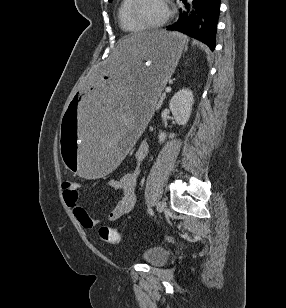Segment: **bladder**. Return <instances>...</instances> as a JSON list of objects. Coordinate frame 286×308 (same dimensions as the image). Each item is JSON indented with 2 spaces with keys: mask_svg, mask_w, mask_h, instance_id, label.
Instances as JSON below:
<instances>
[{
  "mask_svg": "<svg viewBox=\"0 0 286 308\" xmlns=\"http://www.w3.org/2000/svg\"><path fill=\"white\" fill-rule=\"evenodd\" d=\"M169 252L163 247H152L143 252L142 258L152 266H159L167 261Z\"/></svg>",
  "mask_w": 286,
  "mask_h": 308,
  "instance_id": "bladder-1",
  "label": "bladder"
}]
</instances>
